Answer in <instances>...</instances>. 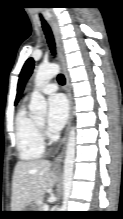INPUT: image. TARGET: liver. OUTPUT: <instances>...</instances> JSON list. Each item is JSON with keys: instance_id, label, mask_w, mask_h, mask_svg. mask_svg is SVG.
I'll list each match as a JSON object with an SVG mask.
<instances>
[{"instance_id": "1", "label": "liver", "mask_w": 123, "mask_h": 219, "mask_svg": "<svg viewBox=\"0 0 123 219\" xmlns=\"http://www.w3.org/2000/svg\"><path fill=\"white\" fill-rule=\"evenodd\" d=\"M48 160L19 161L14 169L11 211H22L30 203L41 199L57 182Z\"/></svg>"}]
</instances>
